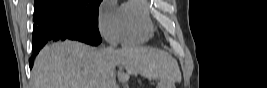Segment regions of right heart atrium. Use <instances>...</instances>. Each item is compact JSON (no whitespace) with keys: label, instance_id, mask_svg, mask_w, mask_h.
Instances as JSON below:
<instances>
[{"label":"right heart atrium","instance_id":"1","mask_svg":"<svg viewBox=\"0 0 267 88\" xmlns=\"http://www.w3.org/2000/svg\"><path fill=\"white\" fill-rule=\"evenodd\" d=\"M98 28L109 44L116 45L122 40L121 8L114 2L102 3L98 13Z\"/></svg>","mask_w":267,"mask_h":88}]
</instances>
